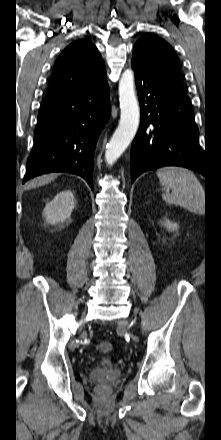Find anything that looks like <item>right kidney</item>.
I'll use <instances>...</instances> for the list:
<instances>
[{
  "label": "right kidney",
  "mask_w": 221,
  "mask_h": 440,
  "mask_svg": "<svg viewBox=\"0 0 221 440\" xmlns=\"http://www.w3.org/2000/svg\"><path fill=\"white\" fill-rule=\"evenodd\" d=\"M74 204L75 199L71 191L66 190L58 193L44 208L43 216L46 222L50 224L65 222L70 218Z\"/></svg>",
  "instance_id": "obj_1"
}]
</instances>
